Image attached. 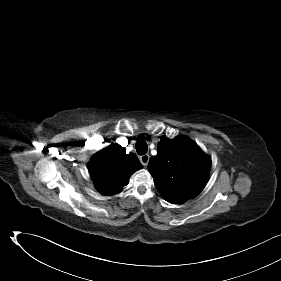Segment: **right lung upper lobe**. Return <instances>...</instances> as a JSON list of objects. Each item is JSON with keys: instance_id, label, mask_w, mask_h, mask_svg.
<instances>
[{"instance_id": "obj_1", "label": "right lung upper lobe", "mask_w": 281, "mask_h": 281, "mask_svg": "<svg viewBox=\"0 0 281 281\" xmlns=\"http://www.w3.org/2000/svg\"><path fill=\"white\" fill-rule=\"evenodd\" d=\"M141 168L135 154H126L124 147L113 143L95 154L88 166L96 189L106 196L119 193L129 177Z\"/></svg>"}]
</instances>
